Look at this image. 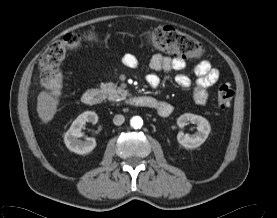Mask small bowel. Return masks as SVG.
I'll list each match as a JSON object with an SVG mask.
<instances>
[{"label":"small bowel","mask_w":277,"mask_h":218,"mask_svg":"<svg viewBox=\"0 0 277 218\" xmlns=\"http://www.w3.org/2000/svg\"><path fill=\"white\" fill-rule=\"evenodd\" d=\"M125 66L129 68H135L138 65V59L133 54H125L122 58ZM186 67V62L181 57H170L162 54H155L150 60V68L155 71H182ZM196 74V80L192 82L191 78L184 73H179L175 77L177 85L181 88L188 89L192 87L193 99L199 105H205L208 101V88L214 85L220 77L219 71L212 67L208 60H202L196 64L194 68ZM146 82L150 87H157L160 84V78L150 73L146 76ZM163 105L158 109V113L161 115L167 114V107H169V113L171 112V106L167 102H162Z\"/></svg>","instance_id":"small-bowel-1"}]
</instances>
